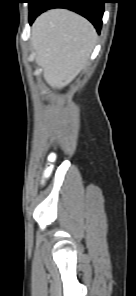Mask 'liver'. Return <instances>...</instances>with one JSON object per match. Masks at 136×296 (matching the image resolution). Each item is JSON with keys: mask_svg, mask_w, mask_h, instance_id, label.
Returning <instances> with one entry per match:
<instances>
[{"mask_svg": "<svg viewBox=\"0 0 136 296\" xmlns=\"http://www.w3.org/2000/svg\"><path fill=\"white\" fill-rule=\"evenodd\" d=\"M96 38L93 25L72 11L42 13L32 26L31 44L45 81L57 89L68 85L87 64Z\"/></svg>", "mask_w": 136, "mask_h": 296, "instance_id": "6515ba94", "label": "liver"}]
</instances>
